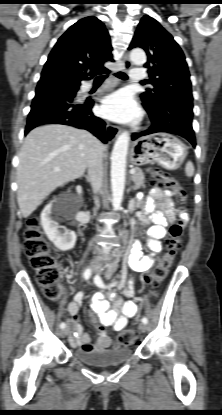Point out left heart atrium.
Wrapping results in <instances>:
<instances>
[{
	"label": "left heart atrium",
	"mask_w": 222,
	"mask_h": 415,
	"mask_svg": "<svg viewBox=\"0 0 222 415\" xmlns=\"http://www.w3.org/2000/svg\"><path fill=\"white\" fill-rule=\"evenodd\" d=\"M101 112L106 118L127 123L138 117L139 108L129 91L120 90L104 99Z\"/></svg>",
	"instance_id": "39dd6f15"
}]
</instances>
